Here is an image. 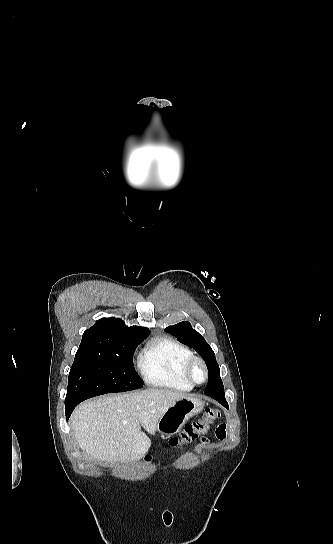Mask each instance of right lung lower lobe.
Wrapping results in <instances>:
<instances>
[{
    "mask_svg": "<svg viewBox=\"0 0 333 544\" xmlns=\"http://www.w3.org/2000/svg\"><path fill=\"white\" fill-rule=\"evenodd\" d=\"M79 403H73V404H65V407H66V419L68 420V418L70 417L71 413L73 412L74 408L78 405Z\"/></svg>",
    "mask_w": 333,
    "mask_h": 544,
    "instance_id": "1",
    "label": "right lung lower lobe"
}]
</instances>
